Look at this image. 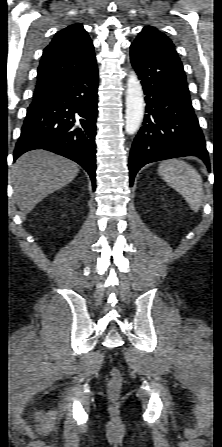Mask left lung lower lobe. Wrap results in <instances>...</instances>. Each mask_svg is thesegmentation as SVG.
<instances>
[{
	"label": "left lung lower lobe",
	"instance_id": "left-lung-lower-lobe-1",
	"mask_svg": "<svg viewBox=\"0 0 222 447\" xmlns=\"http://www.w3.org/2000/svg\"><path fill=\"white\" fill-rule=\"evenodd\" d=\"M130 60L141 80L147 104L143 126L130 152V186L147 163L193 155L208 165L205 139L174 47L161 39L139 34L130 46Z\"/></svg>",
	"mask_w": 222,
	"mask_h": 447
}]
</instances>
